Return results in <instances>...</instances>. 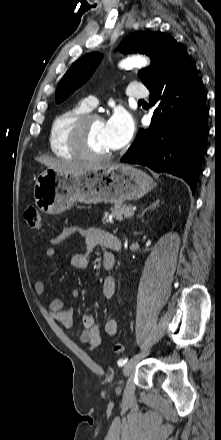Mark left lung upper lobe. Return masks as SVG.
I'll return each mask as SVG.
<instances>
[{
    "mask_svg": "<svg viewBox=\"0 0 221 440\" xmlns=\"http://www.w3.org/2000/svg\"><path fill=\"white\" fill-rule=\"evenodd\" d=\"M120 48L124 54L139 52L151 58V65L138 73L142 83L147 87L162 73L171 57L182 49L176 40L161 32L130 34L121 42ZM100 60L99 53H90L78 59L60 81L55 92V101L62 102L86 82Z\"/></svg>",
    "mask_w": 221,
    "mask_h": 440,
    "instance_id": "5c2ea615",
    "label": "left lung upper lobe"
}]
</instances>
